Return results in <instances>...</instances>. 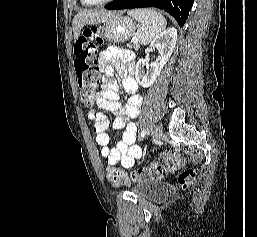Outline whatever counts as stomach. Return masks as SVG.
Masks as SVG:
<instances>
[{
  "label": "stomach",
  "instance_id": "obj_1",
  "mask_svg": "<svg viewBox=\"0 0 257 237\" xmlns=\"http://www.w3.org/2000/svg\"><path fill=\"white\" fill-rule=\"evenodd\" d=\"M133 19L117 15L103 22L97 28V34L106 41L121 43L128 41L135 33Z\"/></svg>",
  "mask_w": 257,
  "mask_h": 237
}]
</instances>
